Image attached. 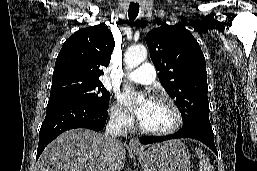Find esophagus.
I'll return each instance as SVG.
<instances>
[{
    "label": "esophagus",
    "mask_w": 257,
    "mask_h": 171,
    "mask_svg": "<svg viewBox=\"0 0 257 171\" xmlns=\"http://www.w3.org/2000/svg\"><path fill=\"white\" fill-rule=\"evenodd\" d=\"M129 147L131 150H134V151L141 150V145H140L138 139H136V138H131V140L129 142Z\"/></svg>",
    "instance_id": "obj_1"
}]
</instances>
